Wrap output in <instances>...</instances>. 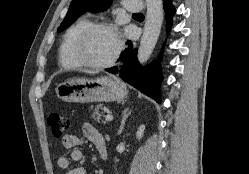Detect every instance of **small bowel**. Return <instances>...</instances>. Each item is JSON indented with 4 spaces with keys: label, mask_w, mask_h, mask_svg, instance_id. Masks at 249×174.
I'll return each mask as SVG.
<instances>
[{
    "label": "small bowel",
    "mask_w": 249,
    "mask_h": 174,
    "mask_svg": "<svg viewBox=\"0 0 249 174\" xmlns=\"http://www.w3.org/2000/svg\"><path fill=\"white\" fill-rule=\"evenodd\" d=\"M83 136L90 140L96 147L102 160H107L108 149L103 137L90 123H85L82 127ZM82 140L73 134H66L62 139V144L67 149H72L69 156L61 155L58 158V166L66 170V174H88L86 168L82 166L69 168L70 163L78 162L82 159L83 153L77 147L81 145Z\"/></svg>",
    "instance_id": "1"
}]
</instances>
